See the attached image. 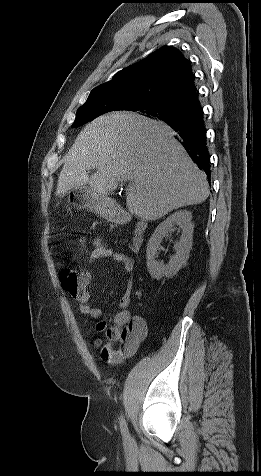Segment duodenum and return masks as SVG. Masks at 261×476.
Segmentation results:
<instances>
[{
    "mask_svg": "<svg viewBox=\"0 0 261 476\" xmlns=\"http://www.w3.org/2000/svg\"><path fill=\"white\" fill-rule=\"evenodd\" d=\"M113 220L117 223H125L127 221V216L122 212H116L113 215ZM146 228L147 226L145 222L140 221L137 223L132 239V249L134 251H138L141 248L144 241Z\"/></svg>",
    "mask_w": 261,
    "mask_h": 476,
    "instance_id": "obj_1",
    "label": "duodenum"
}]
</instances>
